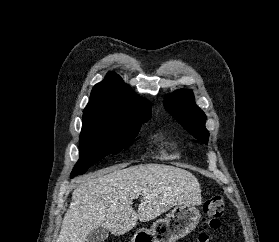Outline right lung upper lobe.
<instances>
[{"instance_id": "1", "label": "right lung upper lobe", "mask_w": 279, "mask_h": 242, "mask_svg": "<svg viewBox=\"0 0 279 242\" xmlns=\"http://www.w3.org/2000/svg\"><path fill=\"white\" fill-rule=\"evenodd\" d=\"M151 117V103L136 96L116 73L110 72L92 89L83 118H99L120 124H136Z\"/></svg>"}]
</instances>
